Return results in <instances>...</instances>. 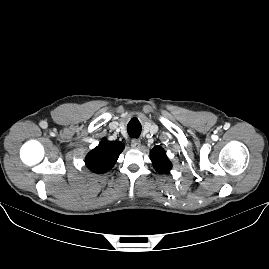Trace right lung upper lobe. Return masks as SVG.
I'll return each instance as SVG.
<instances>
[{
	"instance_id": "obj_1",
	"label": "right lung upper lobe",
	"mask_w": 269,
	"mask_h": 269,
	"mask_svg": "<svg viewBox=\"0 0 269 269\" xmlns=\"http://www.w3.org/2000/svg\"><path fill=\"white\" fill-rule=\"evenodd\" d=\"M123 149L121 142L104 139L87 155L86 165L92 172L105 173L114 166Z\"/></svg>"
}]
</instances>
